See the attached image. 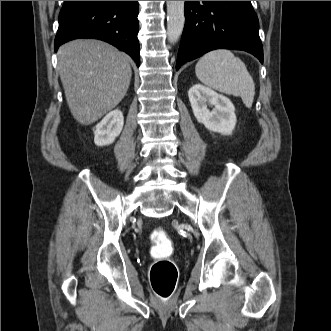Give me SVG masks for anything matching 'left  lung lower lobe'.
<instances>
[{
    "mask_svg": "<svg viewBox=\"0 0 331 331\" xmlns=\"http://www.w3.org/2000/svg\"><path fill=\"white\" fill-rule=\"evenodd\" d=\"M176 70L214 49L243 50L263 63L259 22L251 1H185Z\"/></svg>",
    "mask_w": 331,
    "mask_h": 331,
    "instance_id": "1",
    "label": "left lung lower lobe"
}]
</instances>
